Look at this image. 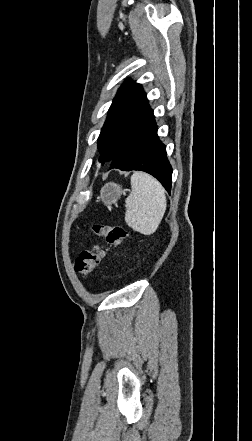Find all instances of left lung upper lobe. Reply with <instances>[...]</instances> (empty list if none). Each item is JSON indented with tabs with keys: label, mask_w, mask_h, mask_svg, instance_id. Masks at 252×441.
Returning <instances> with one entry per match:
<instances>
[{
	"label": "left lung upper lobe",
	"mask_w": 252,
	"mask_h": 441,
	"mask_svg": "<svg viewBox=\"0 0 252 441\" xmlns=\"http://www.w3.org/2000/svg\"><path fill=\"white\" fill-rule=\"evenodd\" d=\"M147 103L146 94L140 84L126 81L119 89L98 138L102 164L112 161L131 125Z\"/></svg>",
	"instance_id": "left-lung-upper-lobe-1"
}]
</instances>
